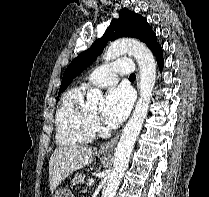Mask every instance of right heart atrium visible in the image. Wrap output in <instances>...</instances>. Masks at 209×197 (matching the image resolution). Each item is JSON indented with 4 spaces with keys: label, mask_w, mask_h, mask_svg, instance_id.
Returning <instances> with one entry per match:
<instances>
[{
    "label": "right heart atrium",
    "mask_w": 209,
    "mask_h": 197,
    "mask_svg": "<svg viewBox=\"0 0 209 197\" xmlns=\"http://www.w3.org/2000/svg\"><path fill=\"white\" fill-rule=\"evenodd\" d=\"M93 125H94L95 127H99V121H98L97 118H93Z\"/></svg>",
    "instance_id": "right-heart-atrium-1"
}]
</instances>
